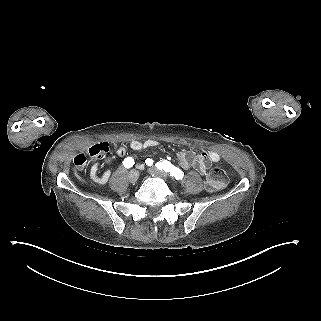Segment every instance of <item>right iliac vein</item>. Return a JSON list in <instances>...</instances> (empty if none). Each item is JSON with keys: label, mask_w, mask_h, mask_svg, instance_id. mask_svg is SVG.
I'll return each mask as SVG.
<instances>
[{"label": "right iliac vein", "mask_w": 321, "mask_h": 321, "mask_svg": "<svg viewBox=\"0 0 321 321\" xmlns=\"http://www.w3.org/2000/svg\"><path fill=\"white\" fill-rule=\"evenodd\" d=\"M139 178V172L137 170H131L128 174L129 182L135 183Z\"/></svg>", "instance_id": "1"}]
</instances>
